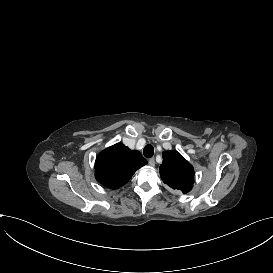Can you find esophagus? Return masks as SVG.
Wrapping results in <instances>:
<instances>
[{"instance_id": "34e87169", "label": "esophagus", "mask_w": 273, "mask_h": 273, "mask_svg": "<svg viewBox=\"0 0 273 273\" xmlns=\"http://www.w3.org/2000/svg\"><path fill=\"white\" fill-rule=\"evenodd\" d=\"M149 165L150 166H155V159L154 158H150L149 161H148Z\"/></svg>"}]
</instances>
